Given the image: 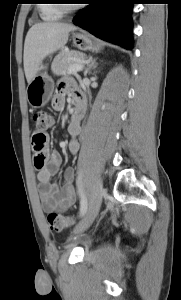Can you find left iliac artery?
<instances>
[{"mask_svg":"<svg viewBox=\"0 0 181 300\" xmlns=\"http://www.w3.org/2000/svg\"><path fill=\"white\" fill-rule=\"evenodd\" d=\"M76 184H77L78 194L80 196V215H84L87 211V197L83 188L82 172L78 174Z\"/></svg>","mask_w":181,"mask_h":300,"instance_id":"left-iliac-artery-1","label":"left iliac artery"}]
</instances>
